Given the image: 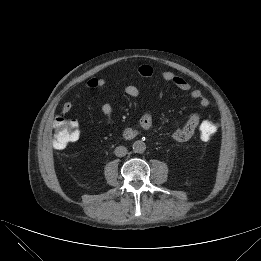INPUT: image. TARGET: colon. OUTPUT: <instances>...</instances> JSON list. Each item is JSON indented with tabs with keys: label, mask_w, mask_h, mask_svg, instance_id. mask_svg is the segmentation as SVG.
<instances>
[{
	"label": "colon",
	"mask_w": 261,
	"mask_h": 261,
	"mask_svg": "<svg viewBox=\"0 0 261 261\" xmlns=\"http://www.w3.org/2000/svg\"><path fill=\"white\" fill-rule=\"evenodd\" d=\"M53 145L63 149L79 139L78 126L75 121L69 120L62 114L58 115L53 124ZM217 126L212 121H203L200 126V136L203 140H210L216 133Z\"/></svg>",
	"instance_id": "obj_1"
}]
</instances>
